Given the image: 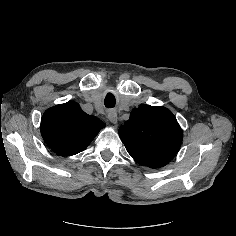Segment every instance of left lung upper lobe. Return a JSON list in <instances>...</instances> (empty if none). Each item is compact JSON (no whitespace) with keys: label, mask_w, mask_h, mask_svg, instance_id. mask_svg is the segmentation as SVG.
<instances>
[{"label":"left lung upper lobe","mask_w":236,"mask_h":236,"mask_svg":"<svg viewBox=\"0 0 236 236\" xmlns=\"http://www.w3.org/2000/svg\"><path fill=\"white\" fill-rule=\"evenodd\" d=\"M128 153L140 165L160 168L179 151L183 132L171 111L163 106L141 105L119 128Z\"/></svg>","instance_id":"5c2ea615"}]
</instances>
